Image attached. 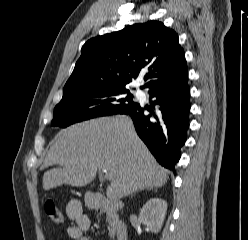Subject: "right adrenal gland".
Listing matches in <instances>:
<instances>
[{
  "instance_id": "obj_1",
  "label": "right adrenal gland",
  "mask_w": 248,
  "mask_h": 240,
  "mask_svg": "<svg viewBox=\"0 0 248 240\" xmlns=\"http://www.w3.org/2000/svg\"><path fill=\"white\" fill-rule=\"evenodd\" d=\"M148 190H151V188H147ZM155 192H157V188L154 189Z\"/></svg>"
}]
</instances>
